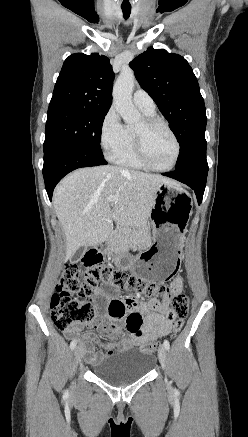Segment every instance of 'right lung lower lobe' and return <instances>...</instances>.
<instances>
[{
  "label": "right lung lower lobe",
  "mask_w": 248,
  "mask_h": 437,
  "mask_svg": "<svg viewBox=\"0 0 248 437\" xmlns=\"http://www.w3.org/2000/svg\"><path fill=\"white\" fill-rule=\"evenodd\" d=\"M105 164L103 156L74 146L61 145L44 151L43 176L50 201L56 184L66 174L77 168Z\"/></svg>",
  "instance_id": "98d812e1"
}]
</instances>
